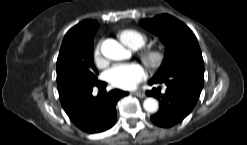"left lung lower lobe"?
I'll return each instance as SVG.
<instances>
[{"label": "left lung lower lobe", "mask_w": 247, "mask_h": 145, "mask_svg": "<svg viewBox=\"0 0 247 145\" xmlns=\"http://www.w3.org/2000/svg\"><path fill=\"white\" fill-rule=\"evenodd\" d=\"M165 83L166 92L160 88L146 91L148 96L160 101L159 111L151 117L154 124L171 127L182 121L194 108L203 88V76L191 73H175L162 79H151L149 84Z\"/></svg>", "instance_id": "left-lung-lower-lobe-1"}]
</instances>
